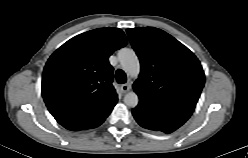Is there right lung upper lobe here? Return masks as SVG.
I'll list each match as a JSON object with an SVG mask.
<instances>
[{"instance_id":"obj_1","label":"right lung upper lobe","mask_w":248,"mask_h":158,"mask_svg":"<svg viewBox=\"0 0 248 158\" xmlns=\"http://www.w3.org/2000/svg\"><path fill=\"white\" fill-rule=\"evenodd\" d=\"M127 44L118 28L77 35L48 59L42 96L56 121L68 130H84L105 119L118 98L108 57Z\"/></svg>"}]
</instances>
